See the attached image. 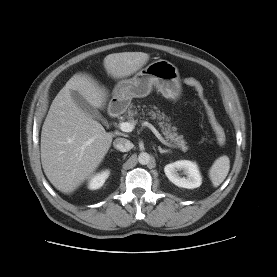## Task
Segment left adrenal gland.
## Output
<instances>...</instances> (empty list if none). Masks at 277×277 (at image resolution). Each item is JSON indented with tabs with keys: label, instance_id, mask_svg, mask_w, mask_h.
<instances>
[{
	"label": "left adrenal gland",
	"instance_id": "left-adrenal-gland-1",
	"mask_svg": "<svg viewBox=\"0 0 277 277\" xmlns=\"http://www.w3.org/2000/svg\"><path fill=\"white\" fill-rule=\"evenodd\" d=\"M158 150H159V152H160L161 154H163V153H169V152H170V150L162 149L160 146H158Z\"/></svg>",
	"mask_w": 277,
	"mask_h": 277
}]
</instances>
